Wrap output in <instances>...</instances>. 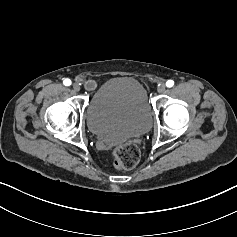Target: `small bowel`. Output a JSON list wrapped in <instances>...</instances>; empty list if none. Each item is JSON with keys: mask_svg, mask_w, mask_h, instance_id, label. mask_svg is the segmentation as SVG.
Masks as SVG:
<instances>
[{"mask_svg": "<svg viewBox=\"0 0 237 237\" xmlns=\"http://www.w3.org/2000/svg\"><path fill=\"white\" fill-rule=\"evenodd\" d=\"M94 86H95V82L94 81L90 80V81L87 82V87L89 89H92Z\"/></svg>", "mask_w": 237, "mask_h": 237, "instance_id": "small-bowel-1", "label": "small bowel"}]
</instances>
